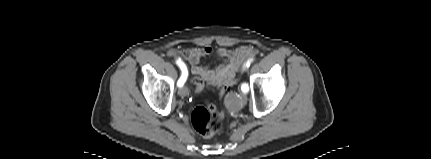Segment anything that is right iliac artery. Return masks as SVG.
Wrapping results in <instances>:
<instances>
[{
  "label": "right iliac artery",
  "mask_w": 431,
  "mask_h": 159,
  "mask_svg": "<svg viewBox=\"0 0 431 159\" xmlns=\"http://www.w3.org/2000/svg\"><path fill=\"white\" fill-rule=\"evenodd\" d=\"M176 64L180 67L181 71H182V75L180 77V79L177 82L178 87H182L184 85V83L186 82L187 76H188V71L186 66L184 65V63L179 59L176 61Z\"/></svg>",
  "instance_id": "right-iliac-artery-1"
}]
</instances>
